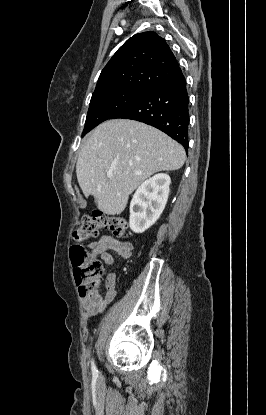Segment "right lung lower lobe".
<instances>
[{
  "instance_id": "1",
  "label": "right lung lower lobe",
  "mask_w": 266,
  "mask_h": 415,
  "mask_svg": "<svg viewBox=\"0 0 266 415\" xmlns=\"http://www.w3.org/2000/svg\"><path fill=\"white\" fill-rule=\"evenodd\" d=\"M123 118L156 127L178 141L188 151L189 97L183 74L152 88L138 102L110 119Z\"/></svg>"
}]
</instances>
